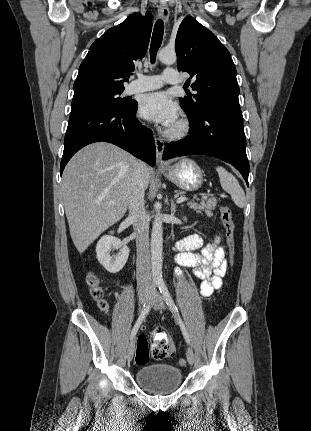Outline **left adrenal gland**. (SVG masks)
<instances>
[{
	"label": "left adrenal gland",
	"instance_id": "left-adrenal-gland-1",
	"mask_svg": "<svg viewBox=\"0 0 311 431\" xmlns=\"http://www.w3.org/2000/svg\"><path fill=\"white\" fill-rule=\"evenodd\" d=\"M176 212V204H174V200H171V214H175Z\"/></svg>",
	"mask_w": 311,
	"mask_h": 431
}]
</instances>
